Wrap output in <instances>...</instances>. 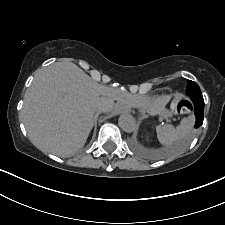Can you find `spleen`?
I'll list each match as a JSON object with an SVG mask.
<instances>
[{"label":"spleen","instance_id":"obj_1","mask_svg":"<svg viewBox=\"0 0 225 225\" xmlns=\"http://www.w3.org/2000/svg\"><path fill=\"white\" fill-rule=\"evenodd\" d=\"M193 124L194 118L190 116L183 118L176 128L172 125H159L156 127L157 138L162 145L170 146L188 135Z\"/></svg>","mask_w":225,"mask_h":225}]
</instances>
